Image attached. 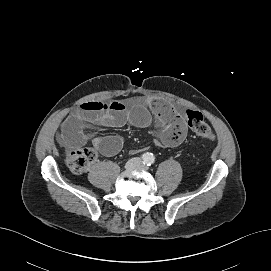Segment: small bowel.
<instances>
[{"label":"small bowel","instance_id":"small-bowel-1","mask_svg":"<svg viewBox=\"0 0 271 271\" xmlns=\"http://www.w3.org/2000/svg\"><path fill=\"white\" fill-rule=\"evenodd\" d=\"M154 116L161 128L160 141L165 147H176L187 135L184 117L178 109L162 100L140 97L131 110L122 101L108 103L90 101L79 106L63 123L58 135L59 142L68 148L80 147L88 142L87 123L101 127H121L131 121L138 127H147ZM92 145L104 156H114L122 148L118 135L96 137Z\"/></svg>","mask_w":271,"mask_h":271}]
</instances>
